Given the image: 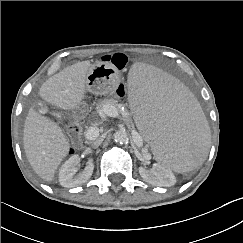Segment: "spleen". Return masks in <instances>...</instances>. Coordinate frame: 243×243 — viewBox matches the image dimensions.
<instances>
[{
	"label": "spleen",
	"mask_w": 243,
	"mask_h": 243,
	"mask_svg": "<svg viewBox=\"0 0 243 243\" xmlns=\"http://www.w3.org/2000/svg\"><path fill=\"white\" fill-rule=\"evenodd\" d=\"M126 78L133 116L155 158L178 173L196 169L210 141L196 98L175 77L149 64L132 63Z\"/></svg>",
	"instance_id": "obj_1"
}]
</instances>
